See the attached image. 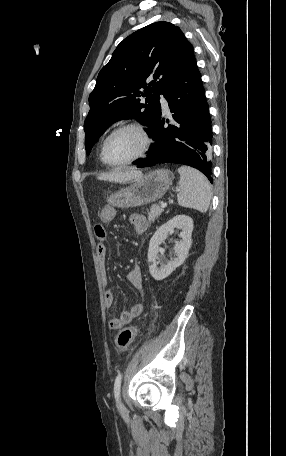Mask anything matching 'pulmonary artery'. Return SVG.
<instances>
[{
    "label": "pulmonary artery",
    "instance_id": "1",
    "mask_svg": "<svg viewBox=\"0 0 286 456\" xmlns=\"http://www.w3.org/2000/svg\"><path fill=\"white\" fill-rule=\"evenodd\" d=\"M161 105H162L163 111L165 113H168L169 112L168 104H167V101L164 98L161 99Z\"/></svg>",
    "mask_w": 286,
    "mask_h": 456
}]
</instances>
